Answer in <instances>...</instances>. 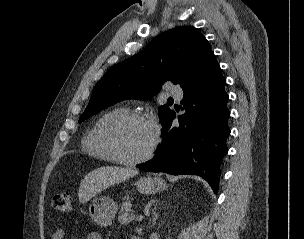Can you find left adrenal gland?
<instances>
[{
    "label": "left adrenal gland",
    "instance_id": "a2214340",
    "mask_svg": "<svg viewBox=\"0 0 304 239\" xmlns=\"http://www.w3.org/2000/svg\"><path fill=\"white\" fill-rule=\"evenodd\" d=\"M156 207H157V202H156V204H155V206L153 208V211H152V214H153V220H152L153 225L155 224L156 220L158 219V214L156 213Z\"/></svg>",
    "mask_w": 304,
    "mask_h": 239
}]
</instances>
